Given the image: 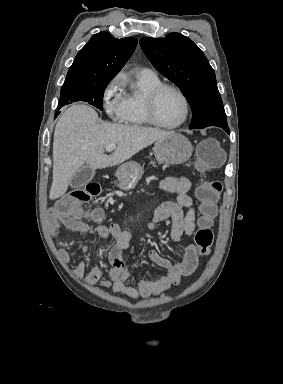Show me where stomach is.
<instances>
[{"label": "stomach", "instance_id": "0dacf381", "mask_svg": "<svg viewBox=\"0 0 283 384\" xmlns=\"http://www.w3.org/2000/svg\"><path fill=\"white\" fill-rule=\"evenodd\" d=\"M192 144L181 134H173L157 140L154 146V156L160 164H184L191 158ZM142 168L138 162H126L119 166L116 172L118 188L133 190L142 178Z\"/></svg>", "mask_w": 283, "mask_h": 384}]
</instances>
